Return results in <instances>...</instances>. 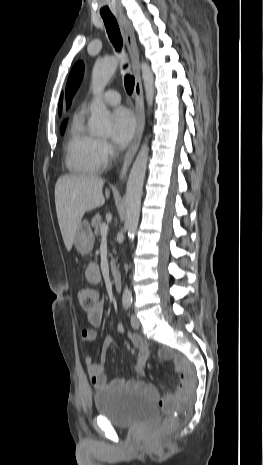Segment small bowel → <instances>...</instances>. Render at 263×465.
Listing matches in <instances>:
<instances>
[{"instance_id":"c3829d8e","label":"small bowel","mask_w":263,"mask_h":465,"mask_svg":"<svg viewBox=\"0 0 263 465\" xmlns=\"http://www.w3.org/2000/svg\"><path fill=\"white\" fill-rule=\"evenodd\" d=\"M85 277L88 283L90 284H99L101 282V271L97 264L90 263L85 270ZM103 311L104 307L102 303H99L95 310L87 313V319L90 324V327L84 328L81 331V339L84 343L92 344L97 336L96 329L101 326L103 320ZM128 339L133 343L138 351V362L136 370L138 373L142 374L144 371L145 364L149 356V347L146 340L136 334L128 335ZM118 343V339L113 336H108L102 346V360L101 362H96L92 354H88L85 357V363L87 366L88 374L92 385L97 388H104L105 386L113 387H138L146 390L154 397L158 398V392L154 386L148 385L142 381H125L120 378L113 379L112 381H107V375L105 372V356L108 348L112 345ZM162 356L166 359L171 358V354L168 352H163ZM177 368L180 369V365L177 363ZM186 375H184L185 377ZM165 398L174 399L175 396L168 395Z\"/></svg>"}]
</instances>
